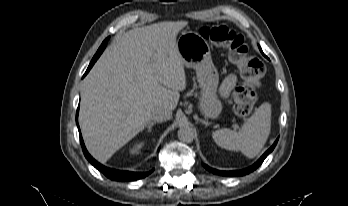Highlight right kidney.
<instances>
[{
    "instance_id": "ca27d5eb",
    "label": "right kidney",
    "mask_w": 348,
    "mask_h": 206,
    "mask_svg": "<svg viewBox=\"0 0 348 206\" xmlns=\"http://www.w3.org/2000/svg\"><path fill=\"white\" fill-rule=\"evenodd\" d=\"M142 147H143V143L142 142L136 143V144H134L133 147L130 148V153L131 154H137V153H139V151L141 150Z\"/></svg>"
}]
</instances>
